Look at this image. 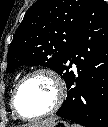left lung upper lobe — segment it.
Listing matches in <instances>:
<instances>
[{"label": "left lung upper lobe", "mask_w": 108, "mask_h": 127, "mask_svg": "<svg viewBox=\"0 0 108 127\" xmlns=\"http://www.w3.org/2000/svg\"><path fill=\"white\" fill-rule=\"evenodd\" d=\"M88 0H38L30 7L8 50L6 72L42 65L65 79V66Z\"/></svg>", "instance_id": "1"}]
</instances>
